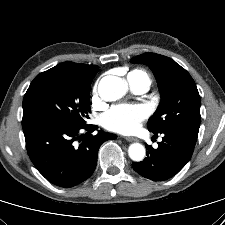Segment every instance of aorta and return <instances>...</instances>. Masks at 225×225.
I'll list each match as a JSON object with an SVG mask.
<instances>
[{"label": "aorta", "instance_id": "obj_1", "mask_svg": "<svg viewBox=\"0 0 225 225\" xmlns=\"http://www.w3.org/2000/svg\"><path fill=\"white\" fill-rule=\"evenodd\" d=\"M127 91L128 83L117 76H105L98 85L99 95L105 101H116L122 98ZM128 155L133 161L140 162L146 155L145 147L140 143H133L128 148Z\"/></svg>", "mask_w": 225, "mask_h": 225}]
</instances>
